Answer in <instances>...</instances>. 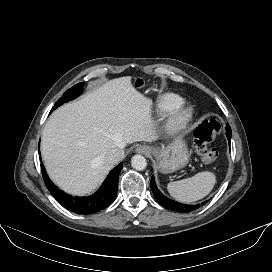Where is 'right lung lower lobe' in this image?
Masks as SVG:
<instances>
[{
  "instance_id": "98d812e1",
  "label": "right lung lower lobe",
  "mask_w": 272,
  "mask_h": 272,
  "mask_svg": "<svg viewBox=\"0 0 272 272\" xmlns=\"http://www.w3.org/2000/svg\"><path fill=\"white\" fill-rule=\"evenodd\" d=\"M122 168L123 163L116 166L95 194L88 197H73L59 190L50 181L43 164H41L45 185L53 197L66 209L78 214L96 213L108 207L115 200L118 189V176Z\"/></svg>"
}]
</instances>
